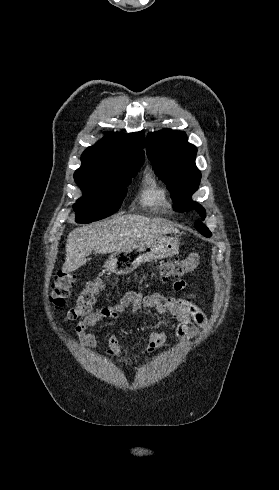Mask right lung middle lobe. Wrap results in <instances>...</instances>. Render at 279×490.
Here are the masks:
<instances>
[{
	"label": "right lung middle lobe",
	"mask_w": 279,
	"mask_h": 490,
	"mask_svg": "<svg viewBox=\"0 0 279 490\" xmlns=\"http://www.w3.org/2000/svg\"><path fill=\"white\" fill-rule=\"evenodd\" d=\"M140 167L125 168L104 177L75 175L83 196L73 205L76 222L90 223L115 213L127 193V186Z\"/></svg>",
	"instance_id": "right-lung-middle-lobe-1"
}]
</instances>
